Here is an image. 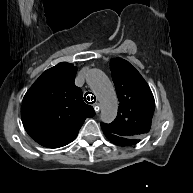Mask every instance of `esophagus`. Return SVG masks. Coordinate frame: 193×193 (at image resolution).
I'll return each instance as SVG.
<instances>
[{
  "instance_id": "obj_1",
  "label": "esophagus",
  "mask_w": 193,
  "mask_h": 193,
  "mask_svg": "<svg viewBox=\"0 0 193 193\" xmlns=\"http://www.w3.org/2000/svg\"><path fill=\"white\" fill-rule=\"evenodd\" d=\"M94 110H95L96 113H98V112L100 111L99 103H96V104H95Z\"/></svg>"
}]
</instances>
